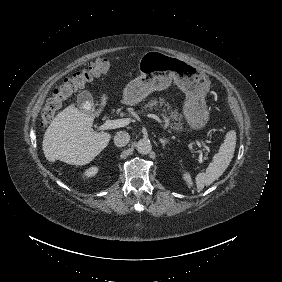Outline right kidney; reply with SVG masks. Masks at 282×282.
I'll return each instance as SVG.
<instances>
[{
  "instance_id": "1",
  "label": "right kidney",
  "mask_w": 282,
  "mask_h": 282,
  "mask_svg": "<svg viewBox=\"0 0 282 282\" xmlns=\"http://www.w3.org/2000/svg\"><path fill=\"white\" fill-rule=\"evenodd\" d=\"M99 171H100V166L95 164L84 169L81 172L80 177L83 179L92 178L96 176L99 173Z\"/></svg>"
}]
</instances>
